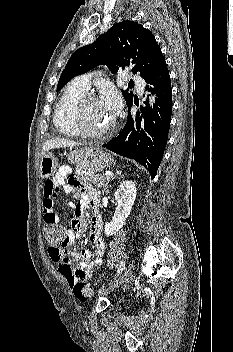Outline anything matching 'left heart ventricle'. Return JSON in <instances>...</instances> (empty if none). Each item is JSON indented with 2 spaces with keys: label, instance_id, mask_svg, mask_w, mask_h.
Masks as SVG:
<instances>
[{
  "label": "left heart ventricle",
  "instance_id": "left-heart-ventricle-1",
  "mask_svg": "<svg viewBox=\"0 0 233 352\" xmlns=\"http://www.w3.org/2000/svg\"><path fill=\"white\" fill-rule=\"evenodd\" d=\"M85 126L90 130H103L113 121V117L104 108L100 100L88 102L83 111Z\"/></svg>",
  "mask_w": 233,
  "mask_h": 352
}]
</instances>
